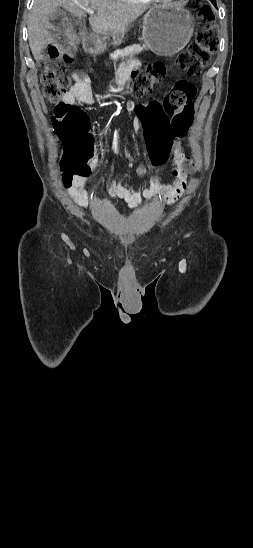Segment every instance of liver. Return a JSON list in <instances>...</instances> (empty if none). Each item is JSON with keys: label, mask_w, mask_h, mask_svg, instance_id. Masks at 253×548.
<instances>
[{"label": "liver", "mask_w": 253, "mask_h": 548, "mask_svg": "<svg viewBox=\"0 0 253 548\" xmlns=\"http://www.w3.org/2000/svg\"><path fill=\"white\" fill-rule=\"evenodd\" d=\"M59 7L79 18L86 16L87 9L94 10L96 14L89 17L91 29L97 36L113 39L123 38L127 27L146 10L144 6L114 0H35L28 21V39L36 61L50 42L54 26L49 20Z\"/></svg>", "instance_id": "1"}]
</instances>
